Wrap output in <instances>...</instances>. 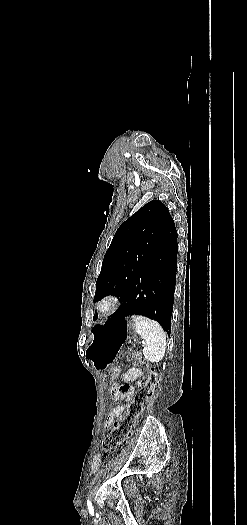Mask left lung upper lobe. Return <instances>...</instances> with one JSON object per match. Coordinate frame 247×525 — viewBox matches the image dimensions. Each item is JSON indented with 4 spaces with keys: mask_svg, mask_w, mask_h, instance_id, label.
I'll use <instances>...</instances> for the list:
<instances>
[{
    "mask_svg": "<svg viewBox=\"0 0 247 525\" xmlns=\"http://www.w3.org/2000/svg\"><path fill=\"white\" fill-rule=\"evenodd\" d=\"M172 220L168 208L152 200L120 225L104 256L94 302L105 295H117L122 300Z\"/></svg>",
    "mask_w": 247,
    "mask_h": 525,
    "instance_id": "left-lung-upper-lobe-1",
    "label": "left lung upper lobe"
}]
</instances>
